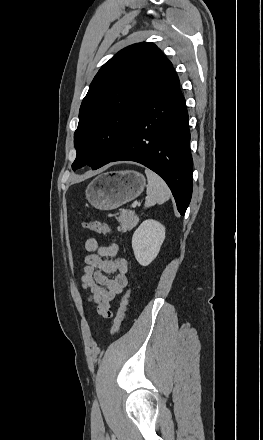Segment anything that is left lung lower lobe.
<instances>
[{
    "label": "left lung lower lobe",
    "mask_w": 263,
    "mask_h": 440,
    "mask_svg": "<svg viewBox=\"0 0 263 440\" xmlns=\"http://www.w3.org/2000/svg\"><path fill=\"white\" fill-rule=\"evenodd\" d=\"M135 161L160 175L184 215L192 196L193 160L185 99L173 66L144 104L126 144L108 163Z\"/></svg>",
    "instance_id": "left-lung-lower-lobe-1"
}]
</instances>
